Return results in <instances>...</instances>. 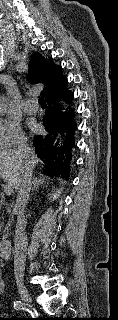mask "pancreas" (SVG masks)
Instances as JSON below:
<instances>
[{
	"label": "pancreas",
	"mask_w": 118,
	"mask_h": 320,
	"mask_svg": "<svg viewBox=\"0 0 118 320\" xmlns=\"http://www.w3.org/2000/svg\"><path fill=\"white\" fill-rule=\"evenodd\" d=\"M0 203H2V201H1ZM9 226H10V223L8 222V223L6 224V226H5L4 231H3V237L7 236ZM0 231H1V226H0Z\"/></svg>",
	"instance_id": "pancreas-1"
}]
</instances>
